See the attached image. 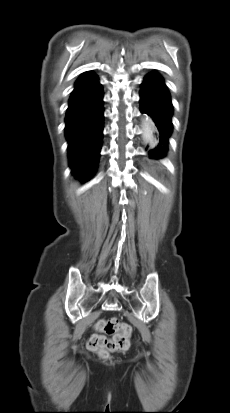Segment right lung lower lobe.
<instances>
[{"label":"right lung lower lobe","mask_w":230,"mask_h":413,"mask_svg":"<svg viewBox=\"0 0 230 413\" xmlns=\"http://www.w3.org/2000/svg\"><path fill=\"white\" fill-rule=\"evenodd\" d=\"M103 89L93 72L76 81L66 112L65 135L72 172L90 178L96 171L102 145Z\"/></svg>","instance_id":"1"}]
</instances>
